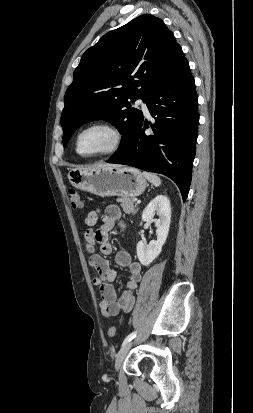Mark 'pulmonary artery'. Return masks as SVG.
<instances>
[{
    "instance_id": "e3ab8cb5",
    "label": "pulmonary artery",
    "mask_w": 253,
    "mask_h": 413,
    "mask_svg": "<svg viewBox=\"0 0 253 413\" xmlns=\"http://www.w3.org/2000/svg\"><path fill=\"white\" fill-rule=\"evenodd\" d=\"M137 104L141 106L143 112H144L146 115H149V110H148L147 104H146V102H145L143 99H141V98L138 99V100H137Z\"/></svg>"
}]
</instances>
